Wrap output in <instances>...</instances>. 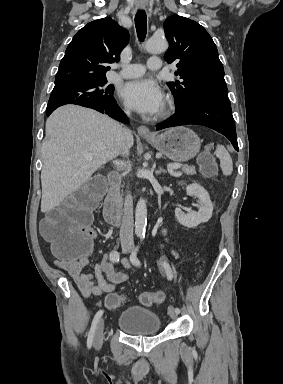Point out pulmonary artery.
Wrapping results in <instances>:
<instances>
[{"instance_id":"obj_1","label":"pulmonary artery","mask_w":283,"mask_h":384,"mask_svg":"<svg viewBox=\"0 0 283 384\" xmlns=\"http://www.w3.org/2000/svg\"><path fill=\"white\" fill-rule=\"evenodd\" d=\"M147 71H160L161 62L160 61H147L146 62ZM145 68L139 64H133L128 66H122L118 72V77L122 79L136 78L143 75Z\"/></svg>"}]
</instances>
